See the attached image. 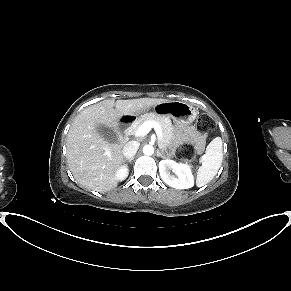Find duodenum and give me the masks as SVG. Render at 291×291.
I'll list each match as a JSON object with an SVG mask.
<instances>
[{
  "mask_svg": "<svg viewBox=\"0 0 291 291\" xmlns=\"http://www.w3.org/2000/svg\"><path fill=\"white\" fill-rule=\"evenodd\" d=\"M134 118L132 116H128L126 117L119 125V131H120V135L123 139L128 137V132L126 130V128L131 125V123L133 122Z\"/></svg>",
  "mask_w": 291,
  "mask_h": 291,
  "instance_id": "1",
  "label": "duodenum"
}]
</instances>
